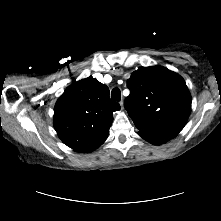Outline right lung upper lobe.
Returning a JSON list of instances; mask_svg holds the SVG:
<instances>
[{
	"mask_svg": "<svg viewBox=\"0 0 221 221\" xmlns=\"http://www.w3.org/2000/svg\"><path fill=\"white\" fill-rule=\"evenodd\" d=\"M120 105L109 88L93 77L69 86L57 100L54 127L60 139L77 152H91L104 143Z\"/></svg>",
	"mask_w": 221,
	"mask_h": 221,
	"instance_id": "obj_1",
	"label": "right lung upper lobe"
}]
</instances>
